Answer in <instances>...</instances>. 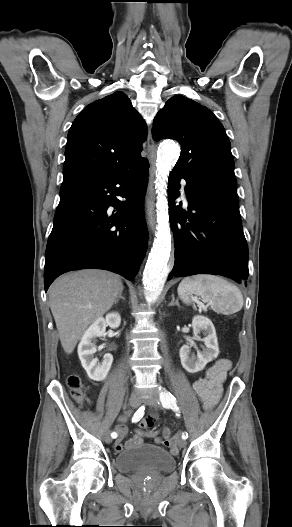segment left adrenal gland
Segmentation results:
<instances>
[{
	"mask_svg": "<svg viewBox=\"0 0 292 527\" xmlns=\"http://www.w3.org/2000/svg\"><path fill=\"white\" fill-rule=\"evenodd\" d=\"M174 305L180 307V305L178 304V302L175 301V297H174V295H172V300H171V302L169 303V306H174Z\"/></svg>",
	"mask_w": 292,
	"mask_h": 527,
	"instance_id": "1",
	"label": "left adrenal gland"
}]
</instances>
